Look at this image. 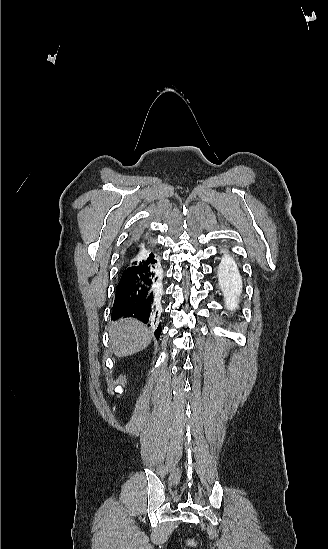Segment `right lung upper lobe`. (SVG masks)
<instances>
[{"instance_id": "cb5924a9", "label": "right lung upper lobe", "mask_w": 328, "mask_h": 549, "mask_svg": "<svg viewBox=\"0 0 328 549\" xmlns=\"http://www.w3.org/2000/svg\"><path fill=\"white\" fill-rule=\"evenodd\" d=\"M154 253L155 251L150 238L145 234H141L138 239L135 240L132 251L126 256L124 262L126 268L125 272L134 269L140 260L152 258L155 256Z\"/></svg>"}]
</instances>
